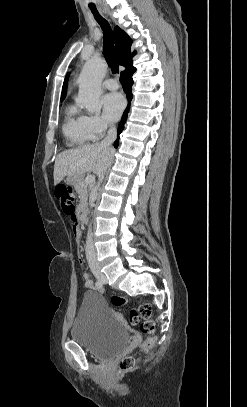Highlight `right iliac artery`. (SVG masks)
Masks as SVG:
<instances>
[{
  "label": "right iliac artery",
  "instance_id": "right-iliac-artery-1",
  "mask_svg": "<svg viewBox=\"0 0 247 407\" xmlns=\"http://www.w3.org/2000/svg\"><path fill=\"white\" fill-rule=\"evenodd\" d=\"M95 286H96V288H97L98 290H101L102 287H103L101 281H96Z\"/></svg>",
  "mask_w": 247,
  "mask_h": 407
}]
</instances>
